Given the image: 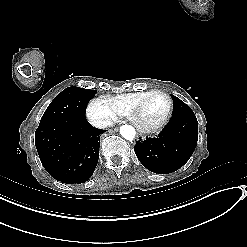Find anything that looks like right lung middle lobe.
<instances>
[{
    "instance_id": "obj_1",
    "label": "right lung middle lobe",
    "mask_w": 247,
    "mask_h": 247,
    "mask_svg": "<svg viewBox=\"0 0 247 247\" xmlns=\"http://www.w3.org/2000/svg\"><path fill=\"white\" fill-rule=\"evenodd\" d=\"M95 93L96 90L74 86L64 89L50 103L40 124L60 119H84L87 104Z\"/></svg>"
}]
</instances>
